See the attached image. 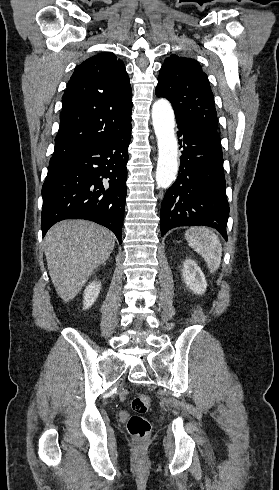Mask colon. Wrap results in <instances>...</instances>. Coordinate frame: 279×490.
I'll list each match as a JSON object with an SVG mask.
<instances>
[{
	"label": "colon",
	"instance_id": "1",
	"mask_svg": "<svg viewBox=\"0 0 279 490\" xmlns=\"http://www.w3.org/2000/svg\"><path fill=\"white\" fill-rule=\"evenodd\" d=\"M151 405V398L148 395L141 394L132 400L133 414L127 422V430L131 436L132 442H149L151 425L149 420L144 416Z\"/></svg>",
	"mask_w": 279,
	"mask_h": 490
}]
</instances>
